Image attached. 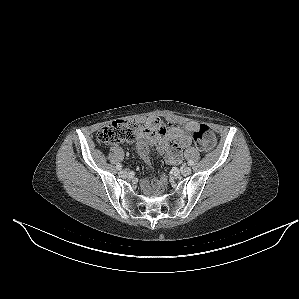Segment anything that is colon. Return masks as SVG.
Masks as SVG:
<instances>
[{"label": "colon", "mask_w": 299, "mask_h": 299, "mask_svg": "<svg viewBox=\"0 0 299 299\" xmlns=\"http://www.w3.org/2000/svg\"><path fill=\"white\" fill-rule=\"evenodd\" d=\"M142 129V125L124 121L116 120L104 127H102L97 133V140L104 145L115 144L118 142H132L137 138L139 131ZM193 138L197 148L201 150H208L212 147L213 142L211 138V132L208 126L200 124L193 133ZM164 182L161 183L158 190L163 189Z\"/></svg>", "instance_id": "colon-1"}]
</instances>
